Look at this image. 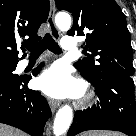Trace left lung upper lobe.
<instances>
[{"label": "left lung upper lobe", "instance_id": "1", "mask_svg": "<svg viewBox=\"0 0 136 136\" xmlns=\"http://www.w3.org/2000/svg\"><path fill=\"white\" fill-rule=\"evenodd\" d=\"M59 10L73 15L70 36H84L90 58L75 63L81 74L93 80L110 76L132 77V46L126 18L114 0H55ZM93 56H98L94 60Z\"/></svg>", "mask_w": 136, "mask_h": 136}]
</instances>
